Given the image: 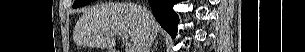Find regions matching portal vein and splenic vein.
I'll return each mask as SVG.
<instances>
[{
  "label": "portal vein and splenic vein",
  "instance_id": "obj_1",
  "mask_svg": "<svg viewBox=\"0 0 305 52\" xmlns=\"http://www.w3.org/2000/svg\"><path fill=\"white\" fill-rule=\"evenodd\" d=\"M123 42H125L128 38L125 34H118ZM126 52H133V47L126 43Z\"/></svg>",
  "mask_w": 305,
  "mask_h": 52
}]
</instances>
